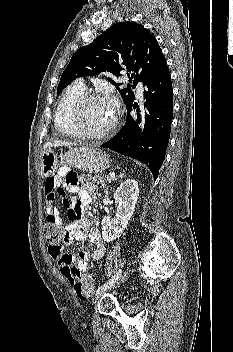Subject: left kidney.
Returning a JSON list of instances; mask_svg holds the SVG:
<instances>
[{
	"label": "left kidney",
	"instance_id": "1",
	"mask_svg": "<svg viewBox=\"0 0 233 352\" xmlns=\"http://www.w3.org/2000/svg\"><path fill=\"white\" fill-rule=\"evenodd\" d=\"M138 197L139 186L136 180L127 179L120 184L114 194V199L118 203L114 218L104 217L102 219V237L104 241L111 242L123 233L134 213Z\"/></svg>",
	"mask_w": 233,
	"mask_h": 352
}]
</instances>
